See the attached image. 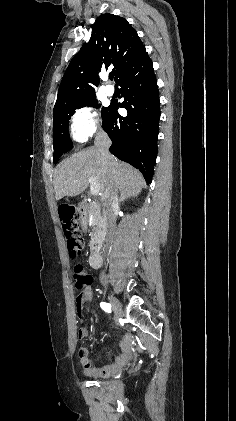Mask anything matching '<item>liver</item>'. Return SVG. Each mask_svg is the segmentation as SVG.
<instances>
[{"instance_id": "6515ba94", "label": "liver", "mask_w": 236, "mask_h": 421, "mask_svg": "<svg viewBox=\"0 0 236 421\" xmlns=\"http://www.w3.org/2000/svg\"><path fill=\"white\" fill-rule=\"evenodd\" d=\"M103 164L99 150L89 146L87 150L74 152L72 156L62 160L54 168V192L56 200L63 196H76L83 192L89 184V176L95 178L99 186L101 200H106L105 190L112 186L114 190H121L125 198L137 196L146 182L139 170L127 162H120L114 156ZM112 170H115L112 174Z\"/></svg>"}]
</instances>
